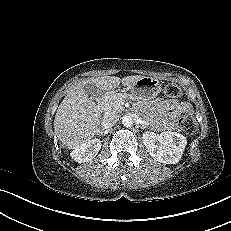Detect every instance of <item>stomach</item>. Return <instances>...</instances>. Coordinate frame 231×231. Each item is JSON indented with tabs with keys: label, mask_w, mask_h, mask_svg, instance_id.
I'll list each match as a JSON object with an SVG mask.
<instances>
[{
	"label": "stomach",
	"mask_w": 231,
	"mask_h": 231,
	"mask_svg": "<svg viewBox=\"0 0 231 231\" xmlns=\"http://www.w3.org/2000/svg\"><path fill=\"white\" fill-rule=\"evenodd\" d=\"M130 96L138 100H150L157 97L161 90V82L158 78L143 76L134 84L127 87Z\"/></svg>",
	"instance_id": "0dacf381"
}]
</instances>
